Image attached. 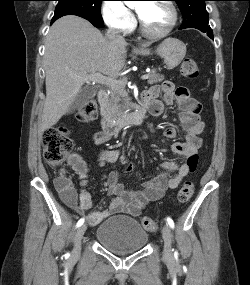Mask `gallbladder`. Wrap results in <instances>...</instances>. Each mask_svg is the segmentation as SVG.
I'll return each mask as SVG.
<instances>
[{"instance_id":"1","label":"gallbladder","mask_w":250,"mask_h":285,"mask_svg":"<svg viewBox=\"0 0 250 285\" xmlns=\"http://www.w3.org/2000/svg\"><path fill=\"white\" fill-rule=\"evenodd\" d=\"M96 91L92 87L82 88L81 91L76 96L73 104L71 105L69 112H73L74 110L83 106L90 98L95 95Z\"/></svg>"}]
</instances>
